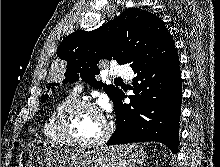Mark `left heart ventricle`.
Returning <instances> with one entry per match:
<instances>
[{
  "mask_svg": "<svg viewBox=\"0 0 220 167\" xmlns=\"http://www.w3.org/2000/svg\"><path fill=\"white\" fill-rule=\"evenodd\" d=\"M104 129L100 114L88 108L77 109L68 123L69 133L78 140L90 141L98 138Z\"/></svg>",
  "mask_w": 220,
  "mask_h": 167,
  "instance_id": "1",
  "label": "left heart ventricle"
}]
</instances>
